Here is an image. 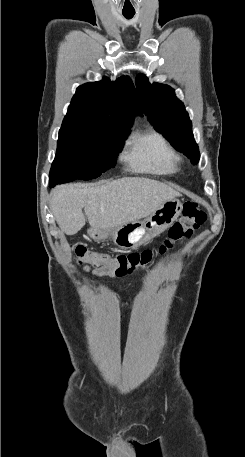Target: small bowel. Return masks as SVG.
Wrapping results in <instances>:
<instances>
[{
	"label": "small bowel",
	"instance_id": "small-bowel-1",
	"mask_svg": "<svg viewBox=\"0 0 245 457\" xmlns=\"http://www.w3.org/2000/svg\"><path fill=\"white\" fill-rule=\"evenodd\" d=\"M93 275L97 276V277H103V276H108V277H116V275L114 274V272L110 269V268H107V267H100V268H97L93 271Z\"/></svg>",
	"mask_w": 245,
	"mask_h": 457
}]
</instances>
